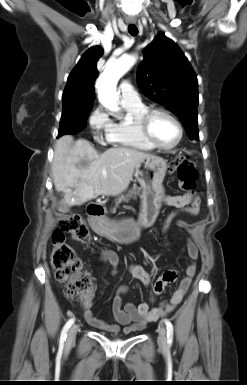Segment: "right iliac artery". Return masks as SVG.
Returning a JSON list of instances; mask_svg holds the SVG:
<instances>
[{
  "label": "right iliac artery",
  "mask_w": 247,
  "mask_h": 385,
  "mask_svg": "<svg viewBox=\"0 0 247 385\" xmlns=\"http://www.w3.org/2000/svg\"><path fill=\"white\" fill-rule=\"evenodd\" d=\"M73 323H74V319L71 318L70 320L67 321V323L63 327L62 332H61V336H60V344L61 345L64 344V342L66 341L67 332H68L69 328L72 326Z\"/></svg>",
  "instance_id": "1"
}]
</instances>
